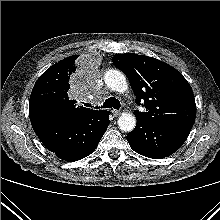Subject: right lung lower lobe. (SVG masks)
Listing matches in <instances>:
<instances>
[{
	"label": "right lung lower lobe",
	"mask_w": 220,
	"mask_h": 220,
	"mask_svg": "<svg viewBox=\"0 0 220 220\" xmlns=\"http://www.w3.org/2000/svg\"><path fill=\"white\" fill-rule=\"evenodd\" d=\"M30 121L44 146L68 162L91 154L110 123L109 112L105 110L79 119L38 115L30 118Z\"/></svg>",
	"instance_id": "1"
}]
</instances>
